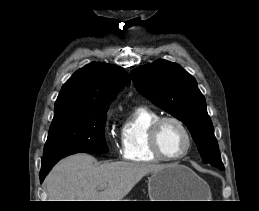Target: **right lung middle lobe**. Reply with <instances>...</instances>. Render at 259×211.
<instances>
[{"mask_svg": "<svg viewBox=\"0 0 259 211\" xmlns=\"http://www.w3.org/2000/svg\"><path fill=\"white\" fill-rule=\"evenodd\" d=\"M108 109L76 108L54 116L44 147L42 165L74 153H106L104 124Z\"/></svg>", "mask_w": 259, "mask_h": 211, "instance_id": "obj_1", "label": "right lung middle lobe"}]
</instances>
